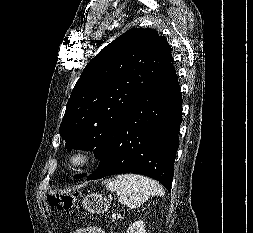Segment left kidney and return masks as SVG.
<instances>
[{
    "mask_svg": "<svg viewBox=\"0 0 253 233\" xmlns=\"http://www.w3.org/2000/svg\"><path fill=\"white\" fill-rule=\"evenodd\" d=\"M127 233H146L145 223L143 222V220H138L133 224L129 225Z\"/></svg>",
    "mask_w": 253,
    "mask_h": 233,
    "instance_id": "obj_1",
    "label": "left kidney"
}]
</instances>
